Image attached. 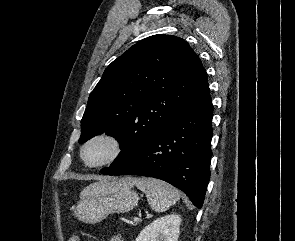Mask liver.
I'll list each match as a JSON object with an SVG mask.
<instances>
[{
	"mask_svg": "<svg viewBox=\"0 0 295 241\" xmlns=\"http://www.w3.org/2000/svg\"><path fill=\"white\" fill-rule=\"evenodd\" d=\"M126 183L129 184V185H133L134 184V180L131 179V178H127L126 179Z\"/></svg>",
	"mask_w": 295,
	"mask_h": 241,
	"instance_id": "1",
	"label": "liver"
}]
</instances>
